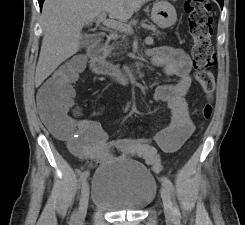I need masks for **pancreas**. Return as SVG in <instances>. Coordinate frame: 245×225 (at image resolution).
I'll use <instances>...</instances> for the list:
<instances>
[{"label":"pancreas","instance_id":"cf45deb5","mask_svg":"<svg viewBox=\"0 0 245 225\" xmlns=\"http://www.w3.org/2000/svg\"><path fill=\"white\" fill-rule=\"evenodd\" d=\"M147 28L150 29V30H152L154 35H158V34L160 33V32L157 30V27H156L155 25H153V24L147 25ZM121 38H122V41L125 40V37H124V36H121ZM116 46H118V43L112 44L111 46H109V47L107 48V50H106V54H107V55H110L111 52H112V50H114Z\"/></svg>","mask_w":245,"mask_h":225}]
</instances>
